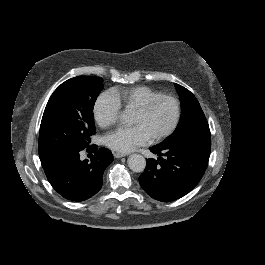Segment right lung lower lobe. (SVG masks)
Listing matches in <instances>:
<instances>
[{
  "mask_svg": "<svg viewBox=\"0 0 265 265\" xmlns=\"http://www.w3.org/2000/svg\"><path fill=\"white\" fill-rule=\"evenodd\" d=\"M91 161H81L80 151H54L40 158L46 177L52 187L65 199L83 201L96 194L102 187L103 172L113 161L106 148L91 145Z\"/></svg>",
  "mask_w": 265,
  "mask_h": 265,
  "instance_id": "98d812e1",
  "label": "right lung lower lobe"
}]
</instances>
